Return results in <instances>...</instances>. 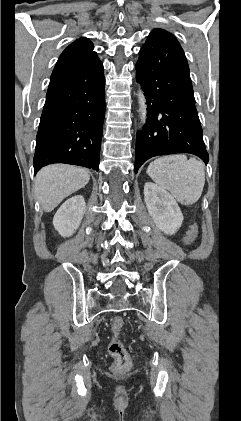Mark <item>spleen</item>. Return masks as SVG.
<instances>
[{
  "label": "spleen",
  "mask_w": 241,
  "mask_h": 421,
  "mask_svg": "<svg viewBox=\"0 0 241 421\" xmlns=\"http://www.w3.org/2000/svg\"><path fill=\"white\" fill-rule=\"evenodd\" d=\"M147 174L185 206L199 200L205 184L203 163L185 155L158 158L149 164Z\"/></svg>",
  "instance_id": "1"
}]
</instances>
